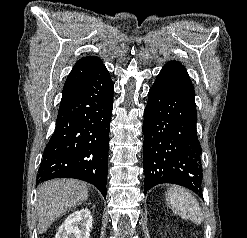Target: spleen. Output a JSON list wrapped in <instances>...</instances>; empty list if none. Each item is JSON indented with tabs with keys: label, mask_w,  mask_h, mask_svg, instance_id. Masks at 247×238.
Segmentation results:
<instances>
[{
	"label": "spleen",
	"mask_w": 247,
	"mask_h": 238,
	"mask_svg": "<svg viewBox=\"0 0 247 238\" xmlns=\"http://www.w3.org/2000/svg\"><path fill=\"white\" fill-rule=\"evenodd\" d=\"M166 201L172 211L183 219L196 224L203 221L202 211L197 200L184 188L171 187L166 192Z\"/></svg>",
	"instance_id": "3e777b00"
}]
</instances>
